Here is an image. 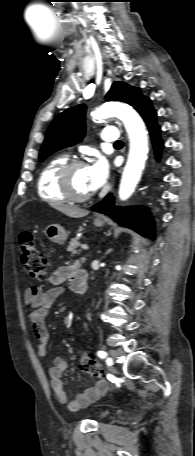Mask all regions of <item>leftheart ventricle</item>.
<instances>
[{
    "mask_svg": "<svg viewBox=\"0 0 195 456\" xmlns=\"http://www.w3.org/2000/svg\"><path fill=\"white\" fill-rule=\"evenodd\" d=\"M72 185L74 190L79 194H89L92 192L89 187L87 167H80L73 171Z\"/></svg>",
    "mask_w": 195,
    "mask_h": 456,
    "instance_id": "obj_1",
    "label": "left heart ventricle"
}]
</instances>
